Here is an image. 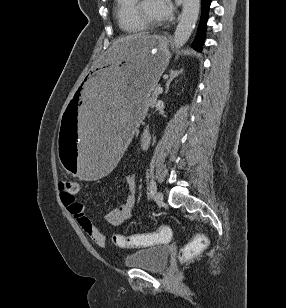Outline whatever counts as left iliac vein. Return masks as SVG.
<instances>
[{"instance_id":"4c4485c4","label":"left iliac vein","mask_w":286,"mask_h":308,"mask_svg":"<svg viewBox=\"0 0 286 308\" xmlns=\"http://www.w3.org/2000/svg\"><path fill=\"white\" fill-rule=\"evenodd\" d=\"M153 198L156 203H161L163 201V194L159 191H156Z\"/></svg>"}]
</instances>
